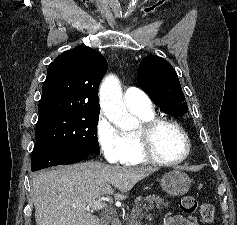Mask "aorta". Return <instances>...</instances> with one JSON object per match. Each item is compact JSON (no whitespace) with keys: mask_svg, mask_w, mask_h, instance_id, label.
I'll list each match as a JSON object with an SVG mask.
<instances>
[{"mask_svg":"<svg viewBox=\"0 0 237 225\" xmlns=\"http://www.w3.org/2000/svg\"><path fill=\"white\" fill-rule=\"evenodd\" d=\"M99 101L103 113L116 127L124 131L137 127L138 120L126 109L116 76L108 75L103 79L99 89Z\"/></svg>","mask_w":237,"mask_h":225,"instance_id":"obj_1","label":"aorta"}]
</instances>
